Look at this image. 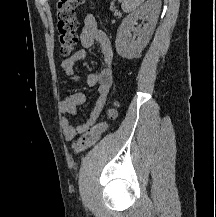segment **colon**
Masks as SVG:
<instances>
[{
  "mask_svg": "<svg viewBox=\"0 0 216 217\" xmlns=\"http://www.w3.org/2000/svg\"><path fill=\"white\" fill-rule=\"evenodd\" d=\"M85 0H56L55 18L57 27V46L62 58L67 59L72 55L78 42L77 37V13L76 9L82 5ZM109 115L114 116L110 111ZM106 130L105 122H98L92 125L86 132L73 144V153L75 155L87 150L95 145Z\"/></svg>",
  "mask_w": 216,
  "mask_h": 217,
  "instance_id": "colon-1",
  "label": "colon"
}]
</instances>
